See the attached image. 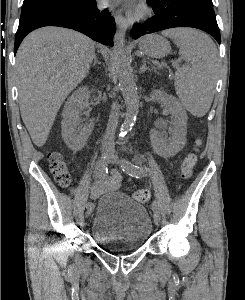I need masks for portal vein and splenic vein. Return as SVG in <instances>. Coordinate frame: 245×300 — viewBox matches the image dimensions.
Wrapping results in <instances>:
<instances>
[{
    "mask_svg": "<svg viewBox=\"0 0 245 300\" xmlns=\"http://www.w3.org/2000/svg\"><path fill=\"white\" fill-rule=\"evenodd\" d=\"M173 65L176 66L177 65V61H173Z\"/></svg>",
    "mask_w": 245,
    "mask_h": 300,
    "instance_id": "1",
    "label": "portal vein and splenic vein"
}]
</instances>
